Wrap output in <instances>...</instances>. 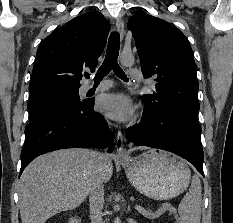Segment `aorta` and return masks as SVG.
<instances>
[{
	"label": "aorta",
	"instance_id": "1",
	"mask_svg": "<svg viewBox=\"0 0 233 223\" xmlns=\"http://www.w3.org/2000/svg\"><path fill=\"white\" fill-rule=\"evenodd\" d=\"M120 62L122 66H127V68H131L134 64V56H121Z\"/></svg>",
	"mask_w": 233,
	"mask_h": 223
}]
</instances>
